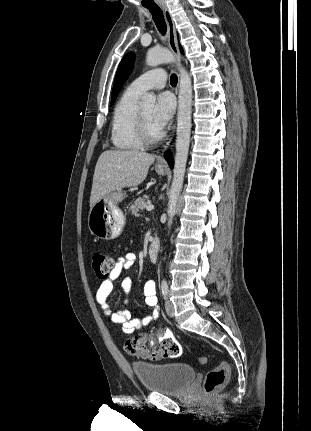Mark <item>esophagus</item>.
Here are the masks:
<instances>
[{
    "mask_svg": "<svg viewBox=\"0 0 311 431\" xmlns=\"http://www.w3.org/2000/svg\"><path fill=\"white\" fill-rule=\"evenodd\" d=\"M161 10L163 11V15L165 17L166 20V24H167V39H168V44L170 49L172 50V52L174 53L177 62H180L181 60V55H180V50L178 47V43H177V38H176V31H175V26H174V20L172 18V15L167 7L166 4H161L160 5ZM176 94L178 95V87L176 89ZM175 128L176 126L174 125L172 127V134L171 136L163 143L161 150L162 153H164L168 147L170 146L172 140H173V135L175 132ZM157 164L163 165L166 164L165 159L163 158V156H160L157 159Z\"/></svg>",
    "mask_w": 311,
    "mask_h": 431,
    "instance_id": "esophagus-1",
    "label": "esophagus"
}]
</instances>
